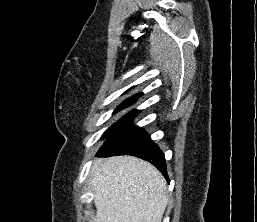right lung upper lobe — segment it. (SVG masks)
Masks as SVG:
<instances>
[{
  "instance_id": "obj_1",
  "label": "right lung upper lobe",
  "mask_w": 257,
  "mask_h": 222,
  "mask_svg": "<svg viewBox=\"0 0 257 222\" xmlns=\"http://www.w3.org/2000/svg\"><path fill=\"white\" fill-rule=\"evenodd\" d=\"M141 96H142V93H138L137 95H134L133 97L128 98L126 101H128V100L136 101Z\"/></svg>"
}]
</instances>
